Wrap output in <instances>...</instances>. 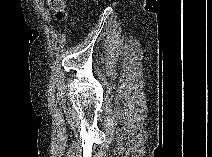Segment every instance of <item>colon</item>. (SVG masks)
Wrapping results in <instances>:
<instances>
[{
  "label": "colon",
  "mask_w": 212,
  "mask_h": 157,
  "mask_svg": "<svg viewBox=\"0 0 212 157\" xmlns=\"http://www.w3.org/2000/svg\"><path fill=\"white\" fill-rule=\"evenodd\" d=\"M48 5L58 20H63L66 17L65 2L62 0H49Z\"/></svg>",
  "instance_id": "colon-1"
}]
</instances>
